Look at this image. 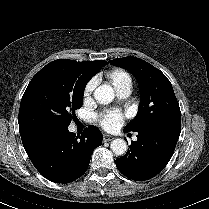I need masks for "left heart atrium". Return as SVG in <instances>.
I'll return each instance as SVG.
<instances>
[{"instance_id":"left-heart-atrium-1","label":"left heart atrium","mask_w":209,"mask_h":209,"mask_svg":"<svg viewBox=\"0 0 209 209\" xmlns=\"http://www.w3.org/2000/svg\"><path fill=\"white\" fill-rule=\"evenodd\" d=\"M123 123V115L118 110H109L99 117V124L105 130H114Z\"/></svg>"}]
</instances>
